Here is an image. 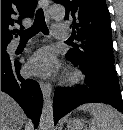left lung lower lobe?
Wrapping results in <instances>:
<instances>
[{
	"label": "left lung lower lobe",
	"instance_id": "0a47b994",
	"mask_svg": "<svg viewBox=\"0 0 123 130\" xmlns=\"http://www.w3.org/2000/svg\"><path fill=\"white\" fill-rule=\"evenodd\" d=\"M72 63L79 66L85 73V84L75 88H56L53 100L54 124L61 117L85 103L108 104L123 113V102L115 71L99 66Z\"/></svg>",
	"mask_w": 123,
	"mask_h": 130
}]
</instances>
